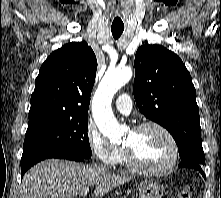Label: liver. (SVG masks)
I'll return each mask as SVG.
<instances>
[{"instance_id":"liver-1","label":"liver","mask_w":221,"mask_h":198,"mask_svg":"<svg viewBox=\"0 0 221 198\" xmlns=\"http://www.w3.org/2000/svg\"><path fill=\"white\" fill-rule=\"evenodd\" d=\"M130 180L105 168L48 159L25 173L21 193L22 198H73L95 187L92 198H98Z\"/></svg>"}]
</instances>
